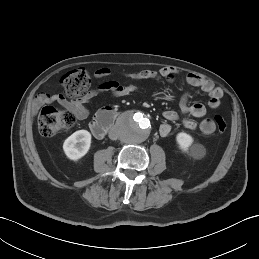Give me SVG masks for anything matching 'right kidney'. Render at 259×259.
Here are the masks:
<instances>
[{
    "instance_id": "ca27d5eb",
    "label": "right kidney",
    "mask_w": 259,
    "mask_h": 259,
    "mask_svg": "<svg viewBox=\"0 0 259 259\" xmlns=\"http://www.w3.org/2000/svg\"><path fill=\"white\" fill-rule=\"evenodd\" d=\"M91 145V134L87 130H79L69 136L63 144L66 156L74 161L79 160L88 152Z\"/></svg>"
}]
</instances>
